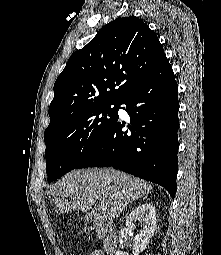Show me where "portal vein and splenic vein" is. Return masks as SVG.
I'll list each match as a JSON object with an SVG mask.
<instances>
[{
    "label": "portal vein and splenic vein",
    "instance_id": "obj_1",
    "mask_svg": "<svg viewBox=\"0 0 221 255\" xmlns=\"http://www.w3.org/2000/svg\"><path fill=\"white\" fill-rule=\"evenodd\" d=\"M101 208H102V209H106L104 205H101Z\"/></svg>",
    "mask_w": 221,
    "mask_h": 255
}]
</instances>
